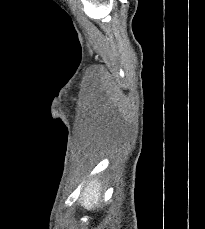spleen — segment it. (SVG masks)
<instances>
[{
    "label": "spleen",
    "instance_id": "obj_1",
    "mask_svg": "<svg viewBox=\"0 0 205 229\" xmlns=\"http://www.w3.org/2000/svg\"><path fill=\"white\" fill-rule=\"evenodd\" d=\"M101 190V183L98 182V180L91 181L87 185L79 199L81 205L87 210H91L92 208H94V206L97 205L99 202Z\"/></svg>",
    "mask_w": 205,
    "mask_h": 229
}]
</instances>
